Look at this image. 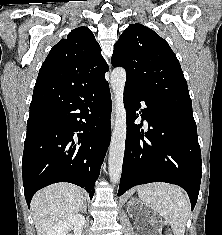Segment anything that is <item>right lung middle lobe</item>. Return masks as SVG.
I'll return each instance as SVG.
<instances>
[{"label":"right lung middle lobe","instance_id":"obj_1","mask_svg":"<svg viewBox=\"0 0 222 235\" xmlns=\"http://www.w3.org/2000/svg\"><path fill=\"white\" fill-rule=\"evenodd\" d=\"M37 124L38 123H29V122H27V128H31V127H33V126H35Z\"/></svg>","mask_w":222,"mask_h":235}]
</instances>
